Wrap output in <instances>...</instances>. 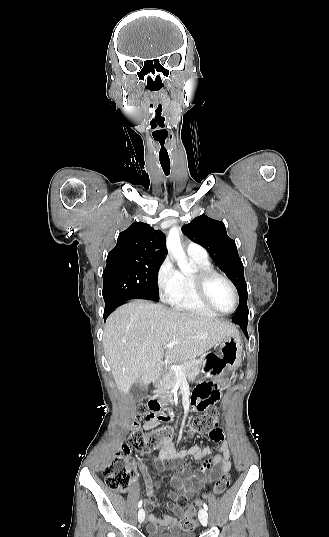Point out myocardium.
<instances>
[{
	"instance_id": "1",
	"label": "myocardium",
	"mask_w": 329,
	"mask_h": 537,
	"mask_svg": "<svg viewBox=\"0 0 329 537\" xmlns=\"http://www.w3.org/2000/svg\"><path fill=\"white\" fill-rule=\"evenodd\" d=\"M213 279H220L224 281L230 287L234 296V306L231 311L223 312L217 309L210 301L209 296H208V284ZM191 281H192L193 288L195 290L196 295L198 296L200 301L211 311L217 314H221V315H230L236 311L239 305V295H238L235 285L228 277H226L225 275L219 273L218 271L212 268L196 267L194 272L191 274Z\"/></svg>"
}]
</instances>
